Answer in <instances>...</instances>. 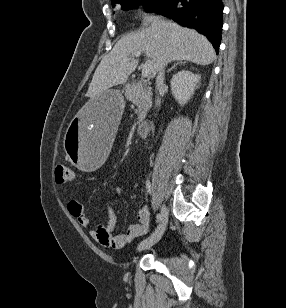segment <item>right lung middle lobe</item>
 Segmentation results:
<instances>
[{
	"label": "right lung middle lobe",
	"mask_w": 286,
	"mask_h": 308,
	"mask_svg": "<svg viewBox=\"0 0 286 308\" xmlns=\"http://www.w3.org/2000/svg\"><path fill=\"white\" fill-rule=\"evenodd\" d=\"M166 1L167 0H116L112 5L115 6L118 4L121 5L122 9L128 10L137 7L139 4H144L147 10L156 12Z\"/></svg>",
	"instance_id": "dd1d6c3e"
}]
</instances>
